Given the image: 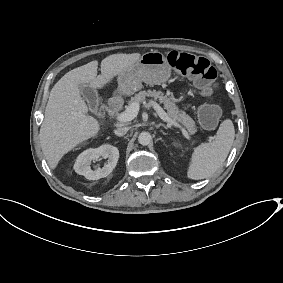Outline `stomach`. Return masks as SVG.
Listing matches in <instances>:
<instances>
[{
    "label": "stomach",
    "instance_id": "1",
    "mask_svg": "<svg viewBox=\"0 0 283 283\" xmlns=\"http://www.w3.org/2000/svg\"><path fill=\"white\" fill-rule=\"evenodd\" d=\"M170 75L171 68L161 52L144 53L135 64L118 74L117 93L132 95L142 88V82L158 85L166 82Z\"/></svg>",
    "mask_w": 283,
    "mask_h": 283
}]
</instances>
